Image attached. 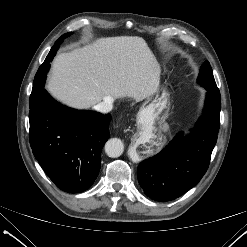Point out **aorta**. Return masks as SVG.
Instances as JSON below:
<instances>
[{"label": "aorta", "instance_id": "obj_1", "mask_svg": "<svg viewBox=\"0 0 247 247\" xmlns=\"http://www.w3.org/2000/svg\"><path fill=\"white\" fill-rule=\"evenodd\" d=\"M105 153L112 158H117L122 155L124 151V144L118 138H111L105 144Z\"/></svg>", "mask_w": 247, "mask_h": 247}]
</instances>
